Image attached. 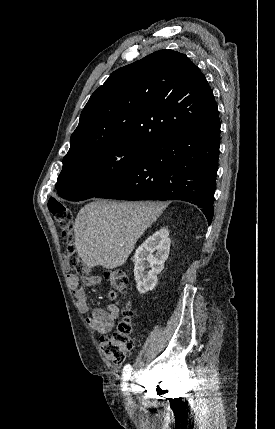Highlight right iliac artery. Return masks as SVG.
<instances>
[{
	"label": "right iliac artery",
	"instance_id": "1",
	"mask_svg": "<svg viewBox=\"0 0 275 429\" xmlns=\"http://www.w3.org/2000/svg\"><path fill=\"white\" fill-rule=\"evenodd\" d=\"M131 371L132 368L129 364H127L123 369V390L126 389L127 381L130 379Z\"/></svg>",
	"mask_w": 275,
	"mask_h": 429
}]
</instances>
